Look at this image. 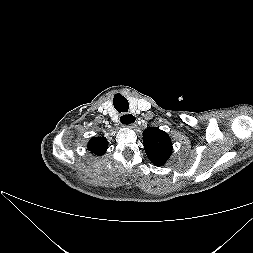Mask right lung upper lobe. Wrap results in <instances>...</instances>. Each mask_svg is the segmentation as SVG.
<instances>
[{
  "label": "right lung upper lobe",
  "mask_w": 253,
  "mask_h": 253,
  "mask_svg": "<svg viewBox=\"0 0 253 253\" xmlns=\"http://www.w3.org/2000/svg\"><path fill=\"white\" fill-rule=\"evenodd\" d=\"M108 146V141L104 137H94L88 143V149L97 156H102Z\"/></svg>",
  "instance_id": "obj_1"
}]
</instances>
